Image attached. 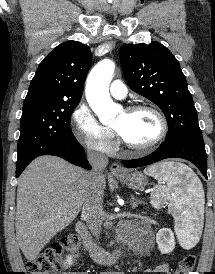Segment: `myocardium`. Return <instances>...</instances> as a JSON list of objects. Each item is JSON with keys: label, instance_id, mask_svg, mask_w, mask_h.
I'll return each instance as SVG.
<instances>
[{"label": "myocardium", "instance_id": "f54148a6", "mask_svg": "<svg viewBox=\"0 0 215 274\" xmlns=\"http://www.w3.org/2000/svg\"><path fill=\"white\" fill-rule=\"evenodd\" d=\"M140 110H146V111H150L151 113H153L158 121H159V125H160V130L158 135L150 142L143 144V145H135V144H131L129 142H127L120 134L119 132L115 130V132L118 134L122 144L135 152H148L152 149H154L158 144H160L167 136L168 134V121L165 117V115L163 114V112L156 106L152 105V104H147V103H139V104H133L130 105L128 107L125 108V112L128 113H132L135 111H140Z\"/></svg>", "mask_w": 215, "mask_h": 274}]
</instances>
